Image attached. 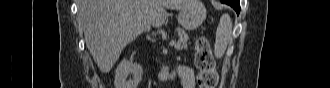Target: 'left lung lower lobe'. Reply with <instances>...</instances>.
Listing matches in <instances>:
<instances>
[{"label":"left lung lower lobe","mask_w":330,"mask_h":88,"mask_svg":"<svg viewBox=\"0 0 330 88\" xmlns=\"http://www.w3.org/2000/svg\"><path fill=\"white\" fill-rule=\"evenodd\" d=\"M223 3H226L233 7L237 14L239 15L240 13V5H239V0H221Z\"/></svg>","instance_id":"obj_1"}]
</instances>
